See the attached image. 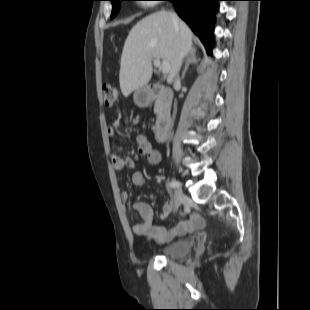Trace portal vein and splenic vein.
<instances>
[{
  "mask_svg": "<svg viewBox=\"0 0 310 310\" xmlns=\"http://www.w3.org/2000/svg\"><path fill=\"white\" fill-rule=\"evenodd\" d=\"M154 65L155 67H158L162 71L163 74H167L170 70L169 63L165 61L161 63L160 59H154Z\"/></svg>",
  "mask_w": 310,
  "mask_h": 310,
  "instance_id": "18ae733b",
  "label": "portal vein and splenic vein"
}]
</instances>
